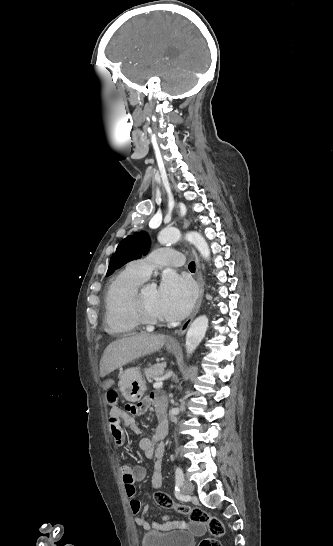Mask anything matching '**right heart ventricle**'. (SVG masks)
<instances>
[{"label": "right heart ventricle", "instance_id": "right-heart-ventricle-1", "mask_svg": "<svg viewBox=\"0 0 333 546\" xmlns=\"http://www.w3.org/2000/svg\"><path fill=\"white\" fill-rule=\"evenodd\" d=\"M145 280L135 268L128 266L110 281L104 299V323L110 334H129L140 329L141 322L131 308V298Z\"/></svg>", "mask_w": 333, "mask_h": 546}]
</instances>
